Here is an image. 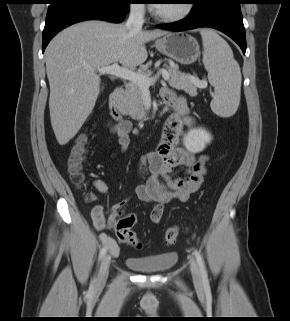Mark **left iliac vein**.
<instances>
[{"label":"left iliac vein","mask_w":290,"mask_h":321,"mask_svg":"<svg viewBox=\"0 0 290 321\" xmlns=\"http://www.w3.org/2000/svg\"><path fill=\"white\" fill-rule=\"evenodd\" d=\"M190 269H191V274H192L194 283L198 286H201L202 285L201 274H200L197 262L195 261L194 258H190Z\"/></svg>","instance_id":"left-iliac-vein-1"}]
</instances>
